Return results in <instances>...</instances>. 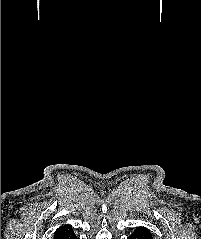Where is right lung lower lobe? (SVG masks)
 Segmentation results:
<instances>
[{
    "label": "right lung lower lobe",
    "instance_id": "obj_1",
    "mask_svg": "<svg viewBox=\"0 0 201 239\" xmlns=\"http://www.w3.org/2000/svg\"><path fill=\"white\" fill-rule=\"evenodd\" d=\"M70 239H78L77 236L70 237Z\"/></svg>",
    "mask_w": 201,
    "mask_h": 239
}]
</instances>
